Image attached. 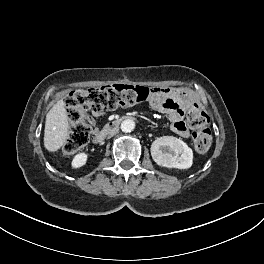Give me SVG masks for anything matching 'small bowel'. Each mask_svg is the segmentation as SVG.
Here are the masks:
<instances>
[{"label":"small bowel","mask_w":264,"mask_h":264,"mask_svg":"<svg viewBox=\"0 0 264 264\" xmlns=\"http://www.w3.org/2000/svg\"><path fill=\"white\" fill-rule=\"evenodd\" d=\"M148 102L159 114H166L169 117L172 131L181 137L190 135L189 128L183 119L191 102V96L187 92L179 88L155 87L151 89ZM102 114L103 112L100 111H92L91 115L87 116V120L94 126V118Z\"/></svg>","instance_id":"obj_1"}]
</instances>
